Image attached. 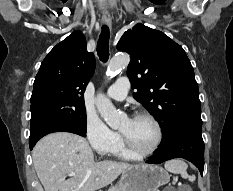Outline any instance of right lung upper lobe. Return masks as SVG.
<instances>
[{
	"mask_svg": "<svg viewBox=\"0 0 233 191\" xmlns=\"http://www.w3.org/2000/svg\"><path fill=\"white\" fill-rule=\"evenodd\" d=\"M95 65L82 32H72L45 57L34 81L31 100L56 96L84 103L83 93Z\"/></svg>",
	"mask_w": 233,
	"mask_h": 191,
	"instance_id": "1",
	"label": "right lung upper lobe"
}]
</instances>
